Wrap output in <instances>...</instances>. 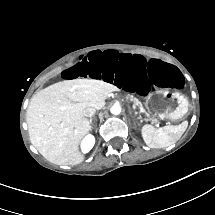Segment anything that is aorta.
Listing matches in <instances>:
<instances>
[{
    "label": "aorta",
    "instance_id": "762f6f07",
    "mask_svg": "<svg viewBox=\"0 0 215 215\" xmlns=\"http://www.w3.org/2000/svg\"><path fill=\"white\" fill-rule=\"evenodd\" d=\"M110 112L113 114V115H119L121 113V106L120 105H113L111 108H110Z\"/></svg>",
    "mask_w": 215,
    "mask_h": 215
}]
</instances>
